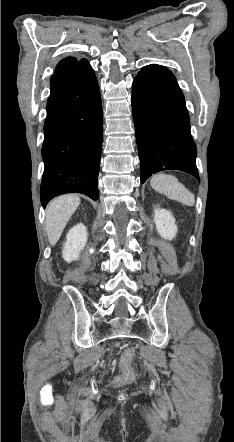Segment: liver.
<instances>
[{"label":"liver","mask_w":234,"mask_h":442,"mask_svg":"<svg viewBox=\"0 0 234 442\" xmlns=\"http://www.w3.org/2000/svg\"><path fill=\"white\" fill-rule=\"evenodd\" d=\"M80 204L74 194L62 195L52 200L46 209V232L51 245L59 240L67 222Z\"/></svg>","instance_id":"obj_1"}]
</instances>
